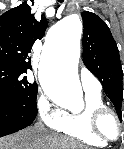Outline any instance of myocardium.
<instances>
[{"label": "myocardium", "instance_id": "f54148a6", "mask_svg": "<svg viewBox=\"0 0 124 149\" xmlns=\"http://www.w3.org/2000/svg\"><path fill=\"white\" fill-rule=\"evenodd\" d=\"M106 117H112L117 124V135L115 137H110L105 133L102 127V122ZM90 123L93 133L101 140L110 143L118 141L123 135V124L113 109L107 106L94 108L90 113Z\"/></svg>", "mask_w": 124, "mask_h": 149}]
</instances>
